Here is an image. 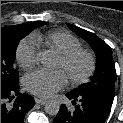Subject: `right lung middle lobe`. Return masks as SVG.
I'll return each mask as SVG.
<instances>
[{
    "mask_svg": "<svg viewBox=\"0 0 123 123\" xmlns=\"http://www.w3.org/2000/svg\"><path fill=\"white\" fill-rule=\"evenodd\" d=\"M45 24L47 23L43 21H35L1 29V84L12 87L18 85V70L14 67L18 43L32 30Z\"/></svg>",
    "mask_w": 123,
    "mask_h": 123,
    "instance_id": "obj_1",
    "label": "right lung middle lobe"
}]
</instances>
